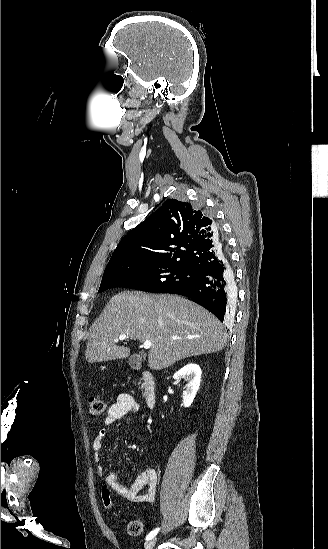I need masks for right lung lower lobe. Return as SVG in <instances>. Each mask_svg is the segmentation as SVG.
Here are the masks:
<instances>
[{
	"instance_id": "98d812e1",
	"label": "right lung lower lobe",
	"mask_w": 328,
	"mask_h": 549,
	"mask_svg": "<svg viewBox=\"0 0 328 549\" xmlns=\"http://www.w3.org/2000/svg\"><path fill=\"white\" fill-rule=\"evenodd\" d=\"M235 292V279L227 256L219 263L200 271L190 283L181 285L165 293L180 294L212 312L221 322L229 319V294Z\"/></svg>"
}]
</instances>
